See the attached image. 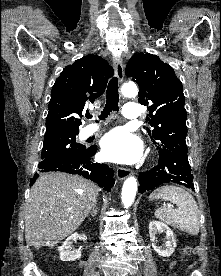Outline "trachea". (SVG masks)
Wrapping results in <instances>:
<instances>
[{"mask_svg":"<svg viewBox=\"0 0 221 276\" xmlns=\"http://www.w3.org/2000/svg\"><path fill=\"white\" fill-rule=\"evenodd\" d=\"M119 94H118V79L116 77H113L108 84L107 91H106V104L101 112V115L99 116L100 120H105L107 116L112 111H118L119 110ZM87 118H92V115L87 114Z\"/></svg>","mask_w":221,"mask_h":276,"instance_id":"obj_1","label":"trachea"}]
</instances>
